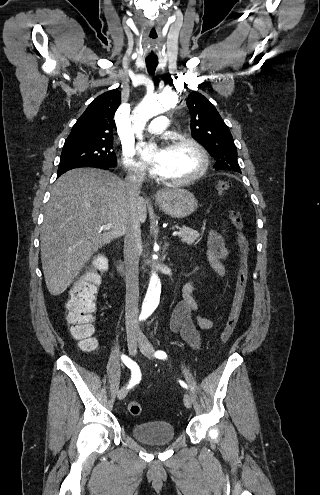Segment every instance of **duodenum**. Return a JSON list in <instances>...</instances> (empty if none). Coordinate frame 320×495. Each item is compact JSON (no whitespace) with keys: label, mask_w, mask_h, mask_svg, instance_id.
<instances>
[{"label":"duodenum","mask_w":320,"mask_h":495,"mask_svg":"<svg viewBox=\"0 0 320 495\" xmlns=\"http://www.w3.org/2000/svg\"><path fill=\"white\" fill-rule=\"evenodd\" d=\"M118 270H119L121 276L125 275V266H124L122 261H119V263H118Z\"/></svg>","instance_id":"410a0bca"}]
</instances>
